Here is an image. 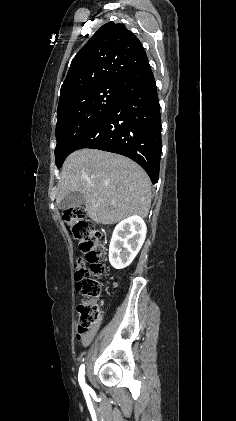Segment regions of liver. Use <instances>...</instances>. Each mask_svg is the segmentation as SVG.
I'll return each instance as SVG.
<instances>
[{"instance_id":"1","label":"liver","mask_w":236,"mask_h":421,"mask_svg":"<svg viewBox=\"0 0 236 421\" xmlns=\"http://www.w3.org/2000/svg\"><path fill=\"white\" fill-rule=\"evenodd\" d=\"M75 190L82 192L85 211L98 225H114L132 215L145 219L149 213L151 180L122 154L97 148L71 152L62 166L56 202Z\"/></svg>"}]
</instances>
